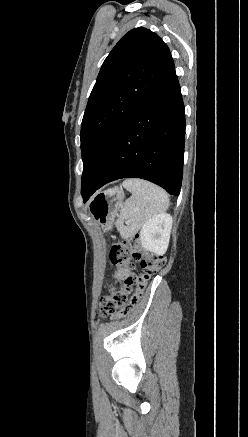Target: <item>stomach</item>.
Returning <instances> with one entry per match:
<instances>
[{
  "label": "stomach",
  "mask_w": 248,
  "mask_h": 437,
  "mask_svg": "<svg viewBox=\"0 0 248 437\" xmlns=\"http://www.w3.org/2000/svg\"><path fill=\"white\" fill-rule=\"evenodd\" d=\"M123 204L122 190L112 188L95 196L89 204V211L94 219L109 230Z\"/></svg>",
  "instance_id": "1"
}]
</instances>
